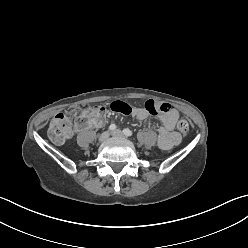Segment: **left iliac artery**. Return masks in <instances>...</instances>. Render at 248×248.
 <instances>
[{
    "label": "left iliac artery",
    "mask_w": 248,
    "mask_h": 248,
    "mask_svg": "<svg viewBox=\"0 0 248 248\" xmlns=\"http://www.w3.org/2000/svg\"><path fill=\"white\" fill-rule=\"evenodd\" d=\"M123 133L126 135V136H132V131L131 130H129V129H124L123 130Z\"/></svg>",
    "instance_id": "left-iliac-artery-1"
}]
</instances>
